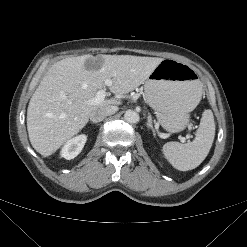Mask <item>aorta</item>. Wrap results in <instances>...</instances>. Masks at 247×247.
Returning a JSON list of instances; mask_svg holds the SVG:
<instances>
[{
	"label": "aorta",
	"instance_id": "obj_1",
	"mask_svg": "<svg viewBox=\"0 0 247 247\" xmlns=\"http://www.w3.org/2000/svg\"><path fill=\"white\" fill-rule=\"evenodd\" d=\"M124 119L128 123L134 124L139 121V114L134 110H127L124 114Z\"/></svg>",
	"mask_w": 247,
	"mask_h": 247
}]
</instances>
